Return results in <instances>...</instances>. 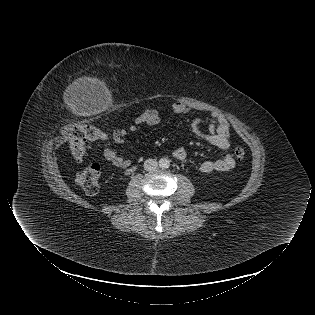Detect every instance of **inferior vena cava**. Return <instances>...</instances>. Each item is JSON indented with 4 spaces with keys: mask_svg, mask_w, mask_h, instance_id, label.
<instances>
[{
    "mask_svg": "<svg viewBox=\"0 0 315 315\" xmlns=\"http://www.w3.org/2000/svg\"><path fill=\"white\" fill-rule=\"evenodd\" d=\"M158 166V162L155 159H147L144 162V169L146 171H154Z\"/></svg>",
    "mask_w": 315,
    "mask_h": 315,
    "instance_id": "inferior-vena-cava-1",
    "label": "inferior vena cava"
}]
</instances>
